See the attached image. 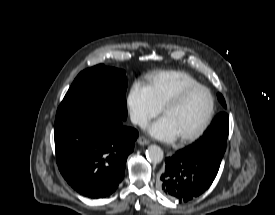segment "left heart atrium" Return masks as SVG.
Segmentation results:
<instances>
[{"instance_id":"39dd6f15","label":"left heart atrium","mask_w":275,"mask_h":215,"mask_svg":"<svg viewBox=\"0 0 275 215\" xmlns=\"http://www.w3.org/2000/svg\"><path fill=\"white\" fill-rule=\"evenodd\" d=\"M148 132L163 141H172L177 137L175 130L165 117L151 124L148 127Z\"/></svg>"}]
</instances>
